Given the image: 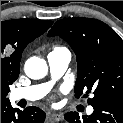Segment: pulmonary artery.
<instances>
[{
    "instance_id": "e3ab8cb5",
    "label": "pulmonary artery",
    "mask_w": 123,
    "mask_h": 123,
    "mask_svg": "<svg viewBox=\"0 0 123 123\" xmlns=\"http://www.w3.org/2000/svg\"><path fill=\"white\" fill-rule=\"evenodd\" d=\"M48 64L51 75L54 79L62 76L68 68L71 60V53L65 48H56L48 54ZM51 82L32 85L13 90L12 98L14 100L35 101L41 99L49 91ZM93 108H88V113H92Z\"/></svg>"
}]
</instances>
